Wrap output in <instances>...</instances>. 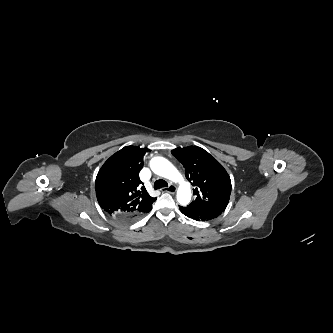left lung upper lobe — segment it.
Wrapping results in <instances>:
<instances>
[{"label":"left lung upper lobe","mask_w":333,"mask_h":333,"mask_svg":"<svg viewBox=\"0 0 333 333\" xmlns=\"http://www.w3.org/2000/svg\"><path fill=\"white\" fill-rule=\"evenodd\" d=\"M172 154L185 167L186 178L196 187L195 199L188 207L223 212L231 193V180L223 166L197 146L176 148Z\"/></svg>","instance_id":"left-lung-upper-lobe-1"}]
</instances>
